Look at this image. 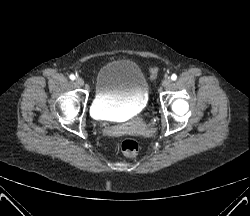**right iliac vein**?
Segmentation results:
<instances>
[{"mask_svg":"<svg viewBox=\"0 0 250 216\" xmlns=\"http://www.w3.org/2000/svg\"><path fill=\"white\" fill-rule=\"evenodd\" d=\"M75 83L79 86H83L84 80L82 78H76Z\"/></svg>","mask_w":250,"mask_h":216,"instance_id":"right-iliac-vein-1","label":"right iliac vein"}]
</instances>
